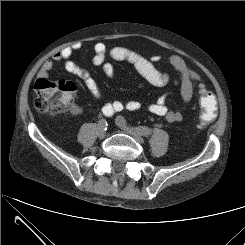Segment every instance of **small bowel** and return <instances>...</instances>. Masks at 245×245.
Here are the masks:
<instances>
[{
	"instance_id": "c3829d8e",
	"label": "small bowel",
	"mask_w": 245,
	"mask_h": 245,
	"mask_svg": "<svg viewBox=\"0 0 245 245\" xmlns=\"http://www.w3.org/2000/svg\"><path fill=\"white\" fill-rule=\"evenodd\" d=\"M81 49V45L74 44L63 48L62 50L56 52L52 56V60H48L41 66L37 78H48L50 72L54 68V62H63L64 69L78 77L84 82L87 90L96 98H102V91L91 76L88 70L79 67L72 59V55L75 51ZM95 55L93 57V63L97 66H101L105 76L112 79L115 75L114 66L107 61L111 58L115 61L125 62L131 65L148 83L154 86H164L166 85L171 77L168 73L159 71L155 63L162 60L161 56L154 55L149 58L140 55L139 53L124 48V47H109L103 42H97L94 45ZM171 68L176 72V77L174 82L179 90V97L185 107L192 99L194 90L200 80L199 75L190 69L182 58L179 56H171L168 60ZM146 108L150 113L164 117L166 121L173 123L179 122L183 119L184 112L183 109L173 110L170 109L166 104L165 97L159 98L153 103L144 105L138 100L129 101H111L107 102L102 110L107 112L109 116L116 112H120L124 109L126 110H140ZM82 107L77 104H73L71 107V113L74 115H79L82 113ZM102 111V112H103Z\"/></svg>"
}]
</instances>
